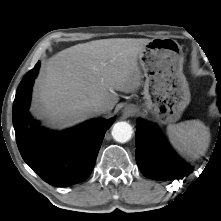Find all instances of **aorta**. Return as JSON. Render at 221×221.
<instances>
[{
    "instance_id": "obj_1",
    "label": "aorta",
    "mask_w": 221,
    "mask_h": 221,
    "mask_svg": "<svg viewBox=\"0 0 221 221\" xmlns=\"http://www.w3.org/2000/svg\"><path fill=\"white\" fill-rule=\"evenodd\" d=\"M132 133V126L125 121L115 123L111 131L114 140L120 143L129 141Z\"/></svg>"
}]
</instances>
